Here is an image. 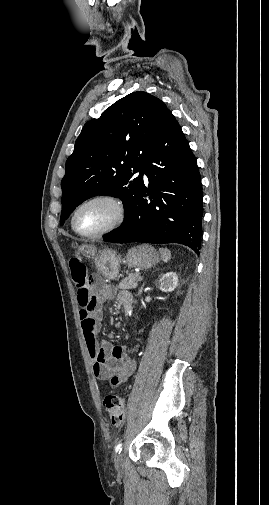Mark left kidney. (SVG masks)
I'll return each instance as SVG.
<instances>
[{"instance_id": "5707ae66", "label": "left kidney", "mask_w": 269, "mask_h": 505, "mask_svg": "<svg viewBox=\"0 0 269 505\" xmlns=\"http://www.w3.org/2000/svg\"><path fill=\"white\" fill-rule=\"evenodd\" d=\"M178 286V275L175 272H167L158 281V287L162 291H173Z\"/></svg>"}]
</instances>
